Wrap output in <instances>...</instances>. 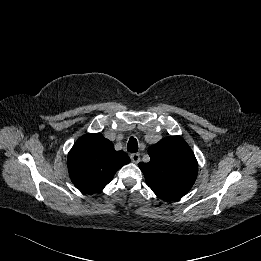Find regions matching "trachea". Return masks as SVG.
<instances>
[{
	"label": "trachea",
	"instance_id": "3493384b",
	"mask_svg": "<svg viewBox=\"0 0 261 261\" xmlns=\"http://www.w3.org/2000/svg\"><path fill=\"white\" fill-rule=\"evenodd\" d=\"M127 150L131 153H136L138 151V143L135 137H130L127 145Z\"/></svg>",
	"mask_w": 261,
	"mask_h": 261
}]
</instances>
